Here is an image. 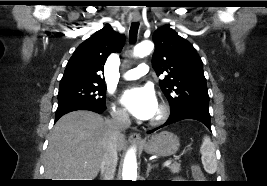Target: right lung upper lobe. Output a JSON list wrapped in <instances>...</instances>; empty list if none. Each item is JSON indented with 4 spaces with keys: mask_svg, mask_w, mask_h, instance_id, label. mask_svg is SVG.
I'll list each match as a JSON object with an SVG mask.
<instances>
[{
    "mask_svg": "<svg viewBox=\"0 0 267 186\" xmlns=\"http://www.w3.org/2000/svg\"><path fill=\"white\" fill-rule=\"evenodd\" d=\"M125 43V37L106 24L101 30L80 44L69 59L61 85L95 84L104 85L101 71L107 57L114 52H120Z\"/></svg>",
    "mask_w": 267,
    "mask_h": 186,
    "instance_id": "cb5924a9",
    "label": "right lung upper lobe"
}]
</instances>
